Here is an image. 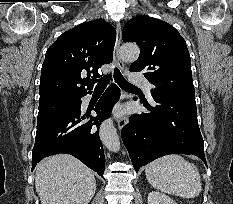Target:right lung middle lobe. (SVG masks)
<instances>
[{"label":"right lung middle lobe","mask_w":233,"mask_h":204,"mask_svg":"<svg viewBox=\"0 0 233 204\" xmlns=\"http://www.w3.org/2000/svg\"><path fill=\"white\" fill-rule=\"evenodd\" d=\"M79 101L80 97H67L39 103L37 127L47 124L66 112H70Z\"/></svg>","instance_id":"dd1d6c3e"}]
</instances>
